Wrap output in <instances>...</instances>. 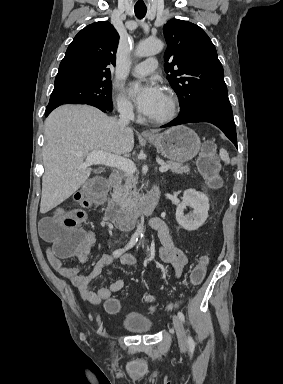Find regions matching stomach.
I'll list each match as a JSON object with an SVG mask.
<instances>
[{
    "label": "stomach",
    "mask_w": 283,
    "mask_h": 384,
    "mask_svg": "<svg viewBox=\"0 0 283 384\" xmlns=\"http://www.w3.org/2000/svg\"><path fill=\"white\" fill-rule=\"evenodd\" d=\"M145 140L156 146L164 158L177 164H183L195 158L201 146L199 136L186 126H174L163 134L158 136L154 134L153 138H145Z\"/></svg>",
    "instance_id": "1"
}]
</instances>
